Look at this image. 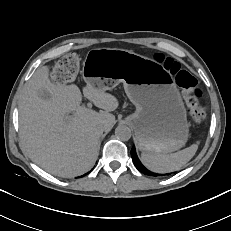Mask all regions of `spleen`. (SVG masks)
Wrapping results in <instances>:
<instances>
[{"label": "spleen", "mask_w": 231, "mask_h": 231, "mask_svg": "<svg viewBox=\"0 0 231 231\" xmlns=\"http://www.w3.org/2000/svg\"><path fill=\"white\" fill-rule=\"evenodd\" d=\"M199 141L191 146L171 154L141 153L142 163L149 170L157 173H167L180 170L195 155Z\"/></svg>", "instance_id": "3e777b00"}]
</instances>
